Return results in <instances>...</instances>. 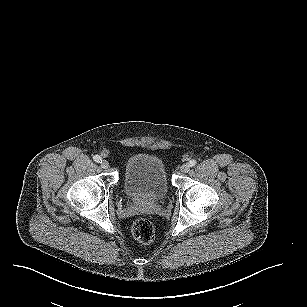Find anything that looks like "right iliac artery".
Segmentation results:
<instances>
[{
	"instance_id": "82829eb1",
	"label": "right iliac artery",
	"mask_w": 307,
	"mask_h": 307,
	"mask_svg": "<svg viewBox=\"0 0 307 307\" xmlns=\"http://www.w3.org/2000/svg\"><path fill=\"white\" fill-rule=\"evenodd\" d=\"M93 159H94V161H96L97 163H100V162L102 161L101 157L98 156V155H95V156L93 157Z\"/></svg>"
}]
</instances>
